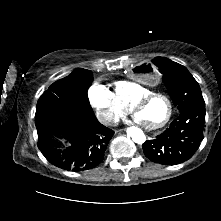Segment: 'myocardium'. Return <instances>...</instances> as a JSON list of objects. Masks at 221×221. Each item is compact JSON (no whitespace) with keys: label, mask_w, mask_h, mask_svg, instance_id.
Segmentation results:
<instances>
[{"label":"myocardium","mask_w":221,"mask_h":221,"mask_svg":"<svg viewBox=\"0 0 221 221\" xmlns=\"http://www.w3.org/2000/svg\"><path fill=\"white\" fill-rule=\"evenodd\" d=\"M156 97H160V98H163L164 100H166V102L168 103L169 109H168V113H167L166 117L161 122H159L157 124L148 125V124H145L142 122V125L148 130L161 129L164 126H166L168 124V122L171 120V118L174 114V104H173V101L171 100V98L168 95L160 93V92H150L148 94L141 96L137 100H135L130 107L132 113L137 117L138 111L143 106H145L151 99L156 98Z\"/></svg>","instance_id":"obj_1"}]
</instances>
